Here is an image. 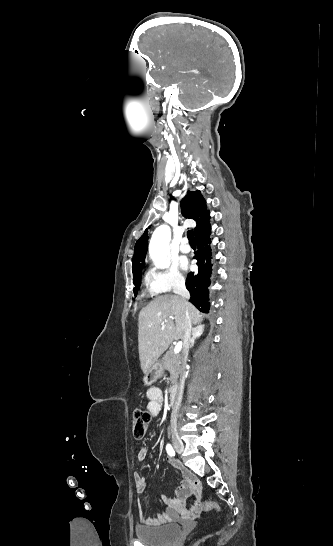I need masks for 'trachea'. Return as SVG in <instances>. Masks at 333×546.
<instances>
[{
    "label": "trachea",
    "mask_w": 333,
    "mask_h": 546,
    "mask_svg": "<svg viewBox=\"0 0 333 546\" xmlns=\"http://www.w3.org/2000/svg\"><path fill=\"white\" fill-rule=\"evenodd\" d=\"M187 237H188L189 243H190L191 245H195V244H196V243H195V239H194V235H193V231H192V230H189V231L187 232Z\"/></svg>",
    "instance_id": "obj_1"
}]
</instances>
